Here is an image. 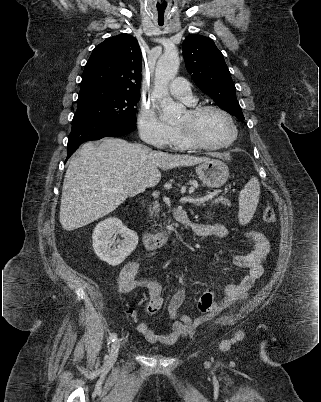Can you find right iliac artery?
<instances>
[{"label": "right iliac artery", "mask_w": 321, "mask_h": 402, "mask_svg": "<svg viewBox=\"0 0 321 402\" xmlns=\"http://www.w3.org/2000/svg\"><path fill=\"white\" fill-rule=\"evenodd\" d=\"M116 338H117V335L115 334V333H112L110 336H109V343L110 342H114L115 340H116Z\"/></svg>", "instance_id": "82829eb1"}]
</instances>
